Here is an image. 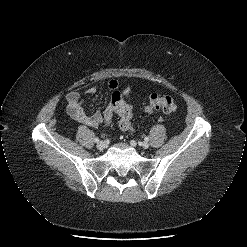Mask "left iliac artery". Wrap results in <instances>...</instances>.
<instances>
[{
    "label": "left iliac artery",
    "instance_id": "1",
    "mask_svg": "<svg viewBox=\"0 0 247 247\" xmlns=\"http://www.w3.org/2000/svg\"><path fill=\"white\" fill-rule=\"evenodd\" d=\"M144 140H145V141H149V137H145Z\"/></svg>",
    "mask_w": 247,
    "mask_h": 247
}]
</instances>
